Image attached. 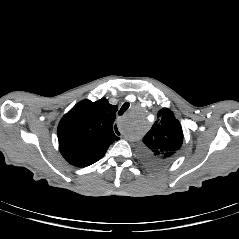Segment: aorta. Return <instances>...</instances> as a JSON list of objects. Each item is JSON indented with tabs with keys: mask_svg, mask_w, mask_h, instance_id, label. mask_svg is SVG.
<instances>
[{
	"mask_svg": "<svg viewBox=\"0 0 239 239\" xmlns=\"http://www.w3.org/2000/svg\"><path fill=\"white\" fill-rule=\"evenodd\" d=\"M142 122H143L142 116H138L135 113L129 115L125 120L123 126L126 135L132 136L136 132H138L140 130Z\"/></svg>",
	"mask_w": 239,
	"mask_h": 239,
	"instance_id": "1",
	"label": "aorta"
}]
</instances>
